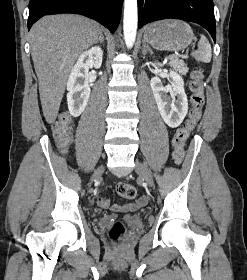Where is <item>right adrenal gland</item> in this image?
<instances>
[{
	"instance_id": "1",
	"label": "right adrenal gland",
	"mask_w": 247,
	"mask_h": 280,
	"mask_svg": "<svg viewBox=\"0 0 247 280\" xmlns=\"http://www.w3.org/2000/svg\"><path fill=\"white\" fill-rule=\"evenodd\" d=\"M98 42H100V43H103V42H104V36H103L102 32H101V34H100V36H99V39L97 40L96 43H98Z\"/></svg>"
}]
</instances>
